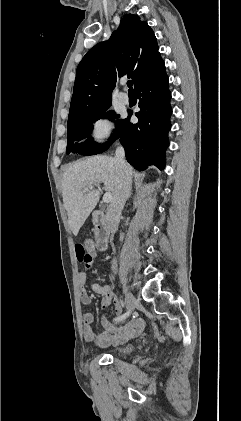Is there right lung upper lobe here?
<instances>
[{"label":"right lung upper lobe","mask_w":241,"mask_h":421,"mask_svg":"<svg viewBox=\"0 0 241 421\" xmlns=\"http://www.w3.org/2000/svg\"><path fill=\"white\" fill-rule=\"evenodd\" d=\"M158 50L147 22L125 15L111 38L91 48L79 63L68 121L110 107L117 77L128 75L135 87L160 58Z\"/></svg>","instance_id":"obj_1"}]
</instances>
